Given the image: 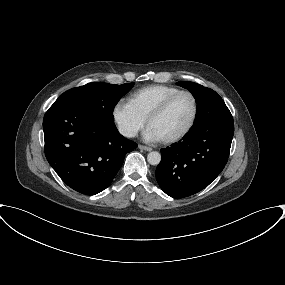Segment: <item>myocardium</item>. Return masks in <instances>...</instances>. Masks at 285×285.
Wrapping results in <instances>:
<instances>
[{
    "label": "myocardium",
    "mask_w": 285,
    "mask_h": 285,
    "mask_svg": "<svg viewBox=\"0 0 285 285\" xmlns=\"http://www.w3.org/2000/svg\"><path fill=\"white\" fill-rule=\"evenodd\" d=\"M181 95H188L190 96V98L192 99L193 102V114L191 117V120L189 122V124L186 126V128L180 132L178 135L165 139V140H160V142L164 145H172L175 144L179 141H181L182 139H184L193 129V127L195 126V123L197 121L198 118V113H199V103L197 100V97L194 95V93H192L189 90H180L172 95H170L169 97H167L163 102H161L147 117L146 119V125L147 127H149L150 123L155 120L156 118L160 117L168 108L169 106L172 104V102L179 96Z\"/></svg>",
    "instance_id": "1"
}]
</instances>
